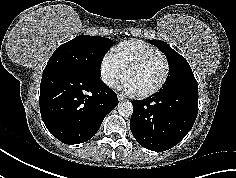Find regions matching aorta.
Returning a JSON list of instances; mask_svg holds the SVG:
<instances>
[{
  "mask_svg": "<svg viewBox=\"0 0 236 178\" xmlns=\"http://www.w3.org/2000/svg\"><path fill=\"white\" fill-rule=\"evenodd\" d=\"M117 110L121 116L129 117L133 113V105L129 101L120 102L117 106Z\"/></svg>",
  "mask_w": 236,
  "mask_h": 178,
  "instance_id": "aorta-1",
  "label": "aorta"
}]
</instances>
